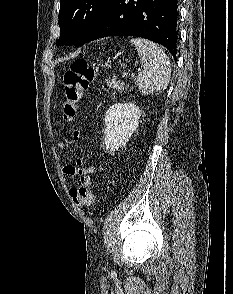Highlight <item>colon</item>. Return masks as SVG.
Masks as SVG:
<instances>
[{
    "label": "colon",
    "mask_w": 233,
    "mask_h": 294,
    "mask_svg": "<svg viewBox=\"0 0 233 294\" xmlns=\"http://www.w3.org/2000/svg\"><path fill=\"white\" fill-rule=\"evenodd\" d=\"M95 77V68L90 66L86 59L79 58L73 61L70 68L64 74V98L62 112L67 120H71L76 115L80 101L84 92L88 89L90 82ZM75 141L80 139V132L73 133ZM81 159L77 160V165L81 166ZM70 196L78 205L89 206L94 201L91 182L87 176L81 178L79 187L70 190Z\"/></svg>",
    "instance_id": "5ec220e1"
}]
</instances>
